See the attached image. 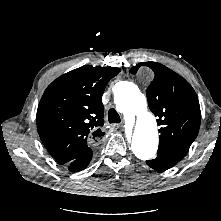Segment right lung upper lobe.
<instances>
[{
	"label": "right lung upper lobe",
	"mask_w": 221,
	"mask_h": 221,
	"mask_svg": "<svg viewBox=\"0 0 221 221\" xmlns=\"http://www.w3.org/2000/svg\"><path fill=\"white\" fill-rule=\"evenodd\" d=\"M116 67L82 66L53 81L37 109V129L48 152L60 164H68L103 135L101 101Z\"/></svg>",
	"instance_id": "cb5924a9"
}]
</instances>
